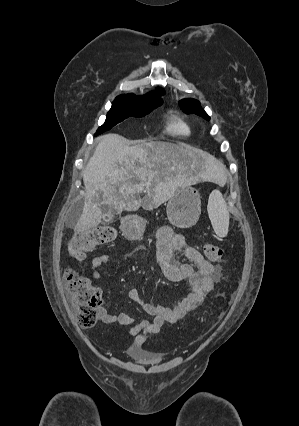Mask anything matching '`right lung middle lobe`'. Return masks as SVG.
Wrapping results in <instances>:
<instances>
[{
	"mask_svg": "<svg viewBox=\"0 0 299 426\" xmlns=\"http://www.w3.org/2000/svg\"><path fill=\"white\" fill-rule=\"evenodd\" d=\"M163 94L164 92L149 93L136 101H123L115 99L112 104V108L107 113L105 123L99 127L96 134H101L107 130H110L113 126L130 116H145L154 108L162 104V99L160 96Z\"/></svg>",
	"mask_w": 299,
	"mask_h": 426,
	"instance_id": "1",
	"label": "right lung middle lobe"
}]
</instances>
